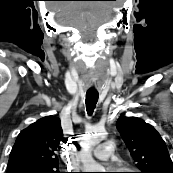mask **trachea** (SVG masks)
<instances>
[{
	"instance_id": "3493384b",
	"label": "trachea",
	"mask_w": 173,
	"mask_h": 173,
	"mask_svg": "<svg viewBox=\"0 0 173 173\" xmlns=\"http://www.w3.org/2000/svg\"><path fill=\"white\" fill-rule=\"evenodd\" d=\"M98 98L99 95L97 93H86L85 104L88 115H92L96 107Z\"/></svg>"
}]
</instances>
